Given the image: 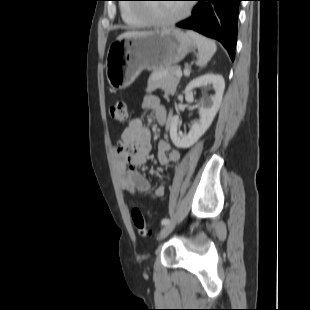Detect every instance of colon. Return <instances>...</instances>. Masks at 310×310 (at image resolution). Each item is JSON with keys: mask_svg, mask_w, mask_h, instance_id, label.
I'll return each instance as SVG.
<instances>
[{"mask_svg": "<svg viewBox=\"0 0 310 310\" xmlns=\"http://www.w3.org/2000/svg\"><path fill=\"white\" fill-rule=\"evenodd\" d=\"M109 116L112 120L118 123H124L128 117L127 103L123 99L115 101L111 106L109 111ZM132 222L139 232L140 235L144 237H149L152 235V230L147 224L141 210L138 207H132L130 211Z\"/></svg>", "mask_w": 310, "mask_h": 310, "instance_id": "1", "label": "colon"}]
</instances>
